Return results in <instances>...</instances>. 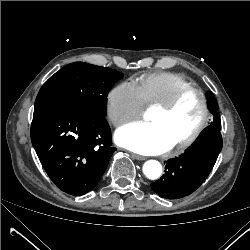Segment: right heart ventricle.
I'll use <instances>...</instances> for the list:
<instances>
[{
	"label": "right heart ventricle",
	"mask_w": 250,
	"mask_h": 250,
	"mask_svg": "<svg viewBox=\"0 0 250 250\" xmlns=\"http://www.w3.org/2000/svg\"><path fill=\"white\" fill-rule=\"evenodd\" d=\"M136 86L143 103L156 106L169 100L177 91L192 86V83L177 73L157 72L141 76Z\"/></svg>",
	"instance_id": "1"
}]
</instances>
